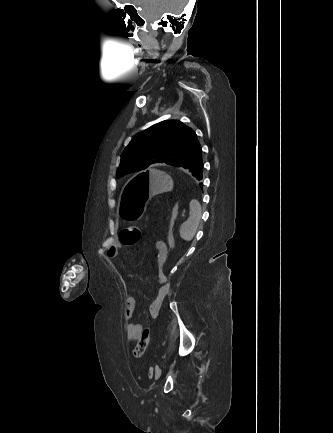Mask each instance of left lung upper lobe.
I'll list each match as a JSON object with an SVG mask.
<instances>
[{"label": "left lung upper lobe", "instance_id": "1", "mask_svg": "<svg viewBox=\"0 0 333 433\" xmlns=\"http://www.w3.org/2000/svg\"><path fill=\"white\" fill-rule=\"evenodd\" d=\"M201 149L191 128L178 120L162 121L132 138L122 153L116 175L143 170L158 163L181 167Z\"/></svg>", "mask_w": 333, "mask_h": 433}]
</instances>
